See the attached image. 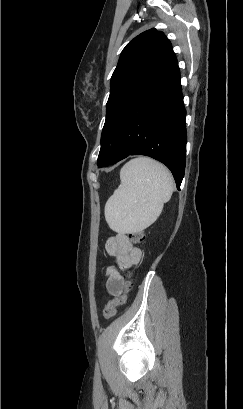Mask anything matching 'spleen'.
I'll return each instance as SVG.
<instances>
[{"mask_svg":"<svg viewBox=\"0 0 243 409\" xmlns=\"http://www.w3.org/2000/svg\"><path fill=\"white\" fill-rule=\"evenodd\" d=\"M120 185L105 205V218L116 232H139L154 223L173 193V178L161 163L148 157L127 162Z\"/></svg>","mask_w":243,"mask_h":409,"instance_id":"3e777b00","label":"spleen"}]
</instances>
